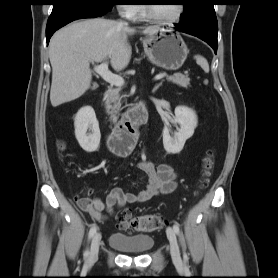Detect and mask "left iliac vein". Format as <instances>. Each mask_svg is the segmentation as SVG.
Here are the masks:
<instances>
[{"label":"left iliac vein","mask_w":278,"mask_h":278,"mask_svg":"<svg viewBox=\"0 0 278 278\" xmlns=\"http://www.w3.org/2000/svg\"><path fill=\"white\" fill-rule=\"evenodd\" d=\"M166 234L170 242V254L172 260L176 265H181L180 251L175 231L171 227H168L166 230Z\"/></svg>","instance_id":"4c4485c4"}]
</instances>
